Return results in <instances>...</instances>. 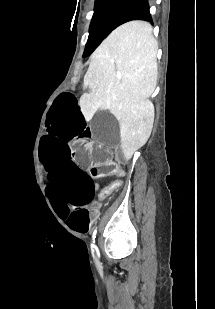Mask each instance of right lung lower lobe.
Returning <instances> with one entry per match:
<instances>
[{"instance_id":"obj_1","label":"right lung lower lobe","mask_w":215,"mask_h":309,"mask_svg":"<svg viewBox=\"0 0 215 309\" xmlns=\"http://www.w3.org/2000/svg\"><path fill=\"white\" fill-rule=\"evenodd\" d=\"M132 20H145L152 23L148 0H133L118 21L117 27Z\"/></svg>"}]
</instances>
